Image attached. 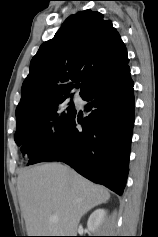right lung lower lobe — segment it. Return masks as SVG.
<instances>
[{"label": "right lung lower lobe", "instance_id": "1", "mask_svg": "<svg viewBox=\"0 0 158 237\" xmlns=\"http://www.w3.org/2000/svg\"><path fill=\"white\" fill-rule=\"evenodd\" d=\"M130 68L125 65L90 88L84 119L75 113L29 160L28 164L63 161L89 180L118 195L128 175L134 123V94ZM78 124L82 129H78Z\"/></svg>", "mask_w": 158, "mask_h": 237}]
</instances>
